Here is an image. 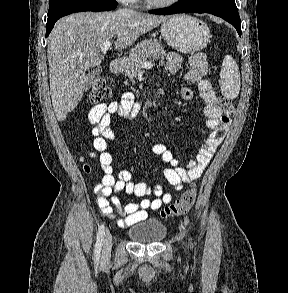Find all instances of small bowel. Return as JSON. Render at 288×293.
I'll list each match as a JSON object with an SVG mask.
<instances>
[{
	"label": "small bowel",
	"instance_id": "obj_1",
	"mask_svg": "<svg viewBox=\"0 0 288 293\" xmlns=\"http://www.w3.org/2000/svg\"><path fill=\"white\" fill-rule=\"evenodd\" d=\"M161 65H166L168 70L179 73L185 65L183 58L176 53H169ZM189 69L184 75V80L197 85L200 97L205 102L204 115L206 125L212 131L207 139L199 147L194 159L187 166L181 167L179 161L164 144H154L151 151L159 155L163 162L170 164L171 168L165 169L164 176L174 191H179L193 180L198 179L210 162L218 146L223 141L228 128L229 119L223 114L218 97L205 78L207 63L202 53L194 54L188 61ZM184 100L193 99V91L187 87L181 89ZM141 110V104L135 99L132 92H124L118 101L100 103L89 111V120L95 126L92 135L95 137L93 146L100 152L99 169L103 173L100 182L95 186L97 203L101 212L113 217L115 213L123 216L116 223L121 228L132 226L144 221L148 217V210H158L163 204H168L174 197L173 192H165L161 185L149 186L145 183L131 181V173L128 170L114 175L113 158L108 152V141L115 139V133L110 126L111 116L133 118ZM124 192L127 196L142 198L139 202L121 204L116 195ZM149 196H154L150 199Z\"/></svg>",
	"mask_w": 288,
	"mask_h": 293
}]
</instances>
